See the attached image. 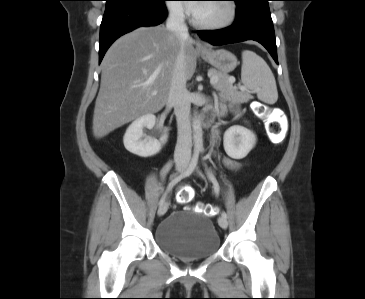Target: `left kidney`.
<instances>
[{
	"label": "left kidney",
	"mask_w": 365,
	"mask_h": 299,
	"mask_svg": "<svg viewBox=\"0 0 365 299\" xmlns=\"http://www.w3.org/2000/svg\"><path fill=\"white\" fill-rule=\"evenodd\" d=\"M256 143L252 131L243 126H232L224 134V149L233 159H242L247 156Z\"/></svg>",
	"instance_id": "1"
}]
</instances>
